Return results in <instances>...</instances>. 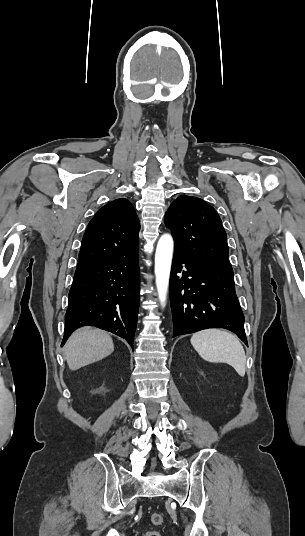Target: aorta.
<instances>
[{
	"label": "aorta",
	"mask_w": 305,
	"mask_h": 536,
	"mask_svg": "<svg viewBox=\"0 0 305 536\" xmlns=\"http://www.w3.org/2000/svg\"><path fill=\"white\" fill-rule=\"evenodd\" d=\"M174 251V242L170 234H163L157 243L155 252V277L158 298L165 307L169 287V278Z\"/></svg>",
	"instance_id": "762f6f07"
}]
</instances>
